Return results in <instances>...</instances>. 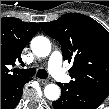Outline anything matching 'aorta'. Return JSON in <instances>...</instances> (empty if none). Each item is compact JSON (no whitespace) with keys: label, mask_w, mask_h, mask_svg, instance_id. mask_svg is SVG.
I'll return each mask as SVG.
<instances>
[{"label":"aorta","mask_w":109,"mask_h":109,"mask_svg":"<svg viewBox=\"0 0 109 109\" xmlns=\"http://www.w3.org/2000/svg\"><path fill=\"white\" fill-rule=\"evenodd\" d=\"M32 52L38 57H46L51 52V43L47 37L37 36L31 40ZM45 97L51 101H56L61 95V90L56 84H48L44 88Z\"/></svg>","instance_id":"aorta-1"}]
</instances>
